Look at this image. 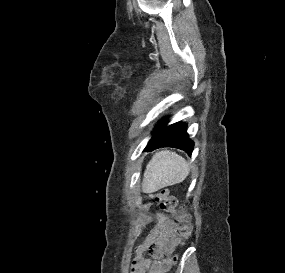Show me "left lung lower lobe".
Wrapping results in <instances>:
<instances>
[{"label":"left lung lower lobe","mask_w":285,"mask_h":273,"mask_svg":"<svg viewBox=\"0 0 285 273\" xmlns=\"http://www.w3.org/2000/svg\"><path fill=\"white\" fill-rule=\"evenodd\" d=\"M167 123H159L156 126L154 134L147 144L145 151H152L159 147H174L184 150L191 155L194 143L188 138L186 132L187 125L182 122H177L169 126Z\"/></svg>","instance_id":"0a47b994"}]
</instances>
